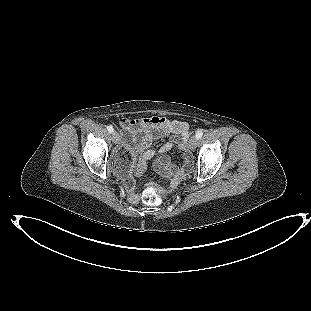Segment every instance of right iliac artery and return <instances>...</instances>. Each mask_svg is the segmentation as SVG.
Segmentation results:
<instances>
[{"label":"right iliac artery","mask_w":311,"mask_h":311,"mask_svg":"<svg viewBox=\"0 0 311 311\" xmlns=\"http://www.w3.org/2000/svg\"><path fill=\"white\" fill-rule=\"evenodd\" d=\"M107 130H108L110 133H112V132L114 131V129H113V127H112L111 125H109V126L107 127Z\"/></svg>","instance_id":"obj_1"}]
</instances>
